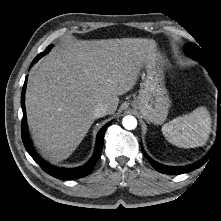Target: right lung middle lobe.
<instances>
[{"instance_id":"right-lung-middle-lobe-1","label":"right lung middle lobe","mask_w":221,"mask_h":221,"mask_svg":"<svg viewBox=\"0 0 221 221\" xmlns=\"http://www.w3.org/2000/svg\"><path fill=\"white\" fill-rule=\"evenodd\" d=\"M51 45L50 46H48V48L46 49V51L44 52V54H46L50 49H51Z\"/></svg>"}]
</instances>
